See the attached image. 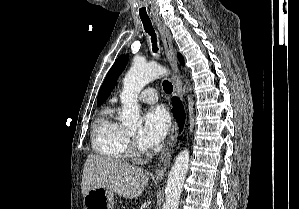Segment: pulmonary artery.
<instances>
[{"mask_svg": "<svg viewBox=\"0 0 299 209\" xmlns=\"http://www.w3.org/2000/svg\"><path fill=\"white\" fill-rule=\"evenodd\" d=\"M138 99L144 103L154 104L158 101V95L154 88L148 87L140 92Z\"/></svg>", "mask_w": 299, "mask_h": 209, "instance_id": "obj_1", "label": "pulmonary artery"}]
</instances>
